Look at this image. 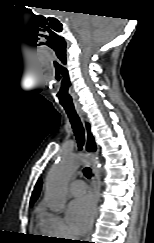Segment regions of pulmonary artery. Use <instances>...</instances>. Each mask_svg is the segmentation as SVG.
Returning <instances> with one entry per match:
<instances>
[{"label":"pulmonary artery","instance_id":"1","mask_svg":"<svg viewBox=\"0 0 154 243\" xmlns=\"http://www.w3.org/2000/svg\"><path fill=\"white\" fill-rule=\"evenodd\" d=\"M69 191L73 196H81L86 191V184L82 180H75L70 184Z\"/></svg>","mask_w":154,"mask_h":243}]
</instances>
